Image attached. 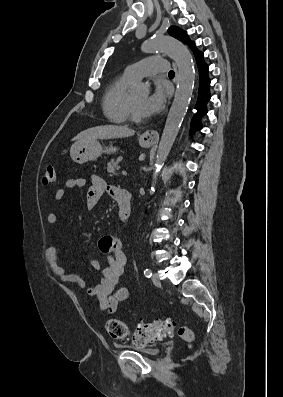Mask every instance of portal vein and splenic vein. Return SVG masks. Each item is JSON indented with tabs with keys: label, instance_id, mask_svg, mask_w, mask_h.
<instances>
[{
	"label": "portal vein and splenic vein",
	"instance_id": "18ae733b",
	"mask_svg": "<svg viewBox=\"0 0 283 397\" xmlns=\"http://www.w3.org/2000/svg\"><path fill=\"white\" fill-rule=\"evenodd\" d=\"M122 175H123V176H126V175H127V172H126V171H122Z\"/></svg>",
	"mask_w": 283,
	"mask_h": 397
}]
</instances>
